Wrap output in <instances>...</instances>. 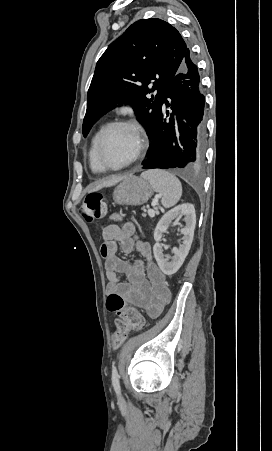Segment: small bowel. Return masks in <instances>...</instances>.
Here are the masks:
<instances>
[{
    "label": "small bowel",
    "mask_w": 272,
    "mask_h": 451,
    "mask_svg": "<svg viewBox=\"0 0 272 451\" xmlns=\"http://www.w3.org/2000/svg\"><path fill=\"white\" fill-rule=\"evenodd\" d=\"M117 220L116 216L112 217ZM132 223L119 226L110 223L103 228L100 254L104 259L108 295H121L127 302L145 309L152 317L159 316L171 300L165 276L153 260L152 249L146 241H136ZM137 252L141 259L129 263L118 255ZM120 275L126 277L120 281Z\"/></svg>",
    "instance_id": "1"
}]
</instances>
